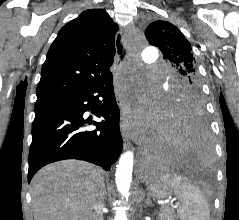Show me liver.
<instances>
[{
  "mask_svg": "<svg viewBox=\"0 0 239 220\" xmlns=\"http://www.w3.org/2000/svg\"><path fill=\"white\" fill-rule=\"evenodd\" d=\"M104 184V171L64 160L39 170L31 182L34 220H90Z\"/></svg>",
  "mask_w": 239,
  "mask_h": 220,
  "instance_id": "liver-1",
  "label": "liver"
}]
</instances>
